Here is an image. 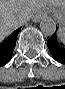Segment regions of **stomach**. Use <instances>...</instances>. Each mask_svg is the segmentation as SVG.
Segmentation results:
<instances>
[{"label": "stomach", "instance_id": "obj_1", "mask_svg": "<svg viewBox=\"0 0 65 89\" xmlns=\"http://www.w3.org/2000/svg\"><path fill=\"white\" fill-rule=\"evenodd\" d=\"M56 18L60 20H65V7H48L47 8Z\"/></svg>", "mask_w": 65, "mask_h": 89}]
</instances>
